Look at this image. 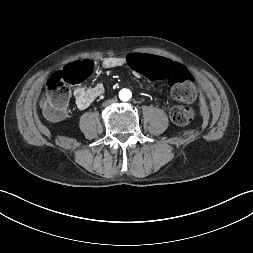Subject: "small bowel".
<instances>
[{
    "label": "small bowel",
    "mask_w": 253,
    "mask_h": 253,
    "mask_svg": "<svg viewBox=\"0 0 253 253\" xmlns=\"http://www.w3.org/2000/svg\"><path fill=\"white\" fill-rule=\"evenodd\" d=\"M129 56H109L103 59L102 66L105 69H113L126 66V61ZM156 57V56H153ZM104 93V87L101 84H96L91 88L78 87L74 90L73 96L77 107L81 110L86 109L99 96Z\"/></svg>",
    "instance_id": "small-bowel-1"
}]
</instances>
